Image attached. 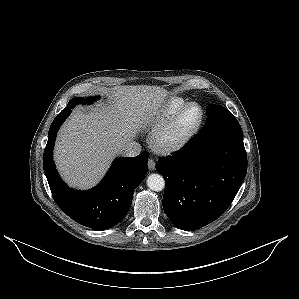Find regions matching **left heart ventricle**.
<instances>
[{
	"instance_id": "left-heart-ventricle-1",
	"label": "left heart ventricle",
	"mask_w": 299,
	"mask_h": 299,
	"mask_svg": "<svg viewBox=\"0 0 299 299\" xmlns=\"http://www.w3.org/2000/svg\"><path fill=\"white\" fill-rule=\"evenodd\" d=\"M200 109L196 106L189 107L182 113L175 125L167 134L168 141H173L187 134L198 122Z\"/></svg>"
}]
</instances>
